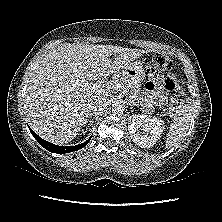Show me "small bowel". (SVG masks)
Returning <instances> with one entry per match:
<instances>
[{
  "label": "small bowel",
  "mask_w": 222,
  "mask_h": 222,
  "mask_svg": "<svg viewBox=\"0 0 222 222\" xmlns=\"http://www.w3.org/2000/svg\"><path fill=\"white\" fill-rule=\"evenodd\" d=\"M168 78L174 80L172 76ZM165 80L160 76H155V75L151 76L150 81L147 83L146 86L148 90V97L151 101H159V102L165 101L166 99V94L164 89Z\"/></svg>",
  "instance_id": "c3829d8e"
}]
</instances>
